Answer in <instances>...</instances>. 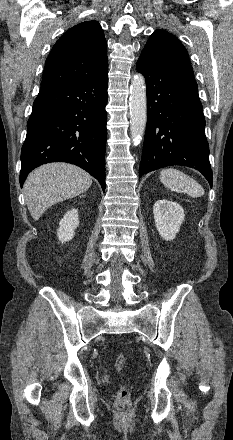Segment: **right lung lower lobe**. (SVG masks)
<instances>
[{
    "label": "right lung lower lobe",
    "mask_w": 233,
    "mask_h": 440,
    "mask_svg": "<svg viewBox=\"0 0 233 440\" xmlns=\"http://www.w3.org/2000/svg\"><path fill=\"white\" fill-rule=\"evenodd\" d=\"M108 70L71 86L40 90L27 123L21 151L20 185L39 165L75 164L105 191Z\"/></svg>",
    "instance_id": "right-lung-lower-lobe-1"
}]
</instances>
